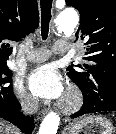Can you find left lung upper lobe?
<instances>
[{
  "label": "left lung upper lobe",
  "instance_id": "5c2ea615",
  "mask_svg": "<svg viewBox=\"0 0 116 134\" xmlns=\"http://www.w3.org/2000/svg\"><path fill=\"white\" fill-rule=\"evenodd\" d=\"M78 9L80 27L77 40L85 43L88 64L68 67L67 75L83 93L84 99L116 95V0H66Z\"/></svg>",
  "mask_w": 116,
  "mask_h": 134
}]
</instances>
